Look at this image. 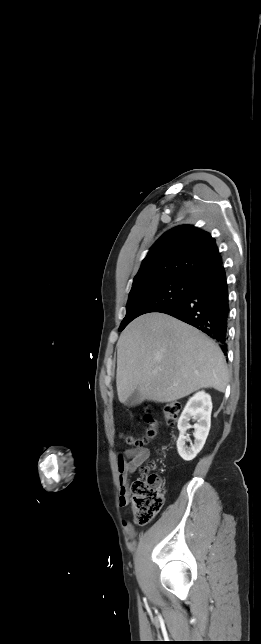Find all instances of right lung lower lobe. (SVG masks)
Listing matches in <instances>:
<instances>
[{"label": "right lung lower lobe", "instance_id": "right-lung-lower-lobe-1", "mask_svg": "<svg viewBox=\"0 0 261 644\" xmlns=\"http://www.w3.org/2000/svg\"><path fill=\"white\" fill-rule=\"evenodd\" d=\"M229 311L226 272L220 265L195 278L191 290L182 301L160 312L203 331L217 340L226 353Z\"/></svg>", "mask_w": 261, "mask_h": 644}]
</instances>
